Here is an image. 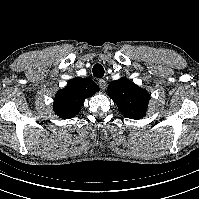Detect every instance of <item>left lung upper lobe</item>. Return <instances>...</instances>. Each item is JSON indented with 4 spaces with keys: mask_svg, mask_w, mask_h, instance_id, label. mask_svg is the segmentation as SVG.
I'll use <instances>...</instances> for the list:
<instances>
[{
    "mask_svg": "<svg viewBox=\"0 0 199 199\" xmlns=\"http://www.w3.org/2000/svg\"><path fill=\"white\" fill-rule=\"evenodd\" d=\"M108 92L123 116L131 119H140L145 116L150 99L146 90L127 78H121L109 84Z\"/></svg>",
    "mask_w": 199,
    "mask_h": 199,
    "instance_id": "5c2ea615",
    "label": "left lung upper lobe"
}]
</instances>
